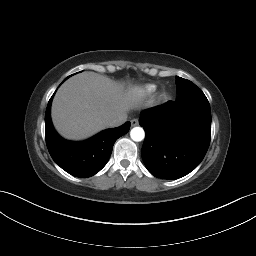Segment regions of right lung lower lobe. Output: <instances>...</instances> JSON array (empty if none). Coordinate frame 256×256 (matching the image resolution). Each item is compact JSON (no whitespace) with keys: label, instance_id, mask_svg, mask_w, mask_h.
<instances>
[{"label":"right lung lower lobe","instance_id":"right-lung-lower-lobe-1","mask_svg":"<svg viewBox=\"0 0 256 256\" xmlns=\"http://www.w3.org/2000/svg\"><path fill=\"white\" fill-rule=\"evenodd\" d=\"M52 98L53 96L48 102L45 114V137L51 157L73 176L86 178L95 175L106 165L115 141L129 131L130 122L104 130L83 142L67 141L53 128L50 117Z\"/></svg>","mask_w":256,"mask_h":256}]
</instances>
